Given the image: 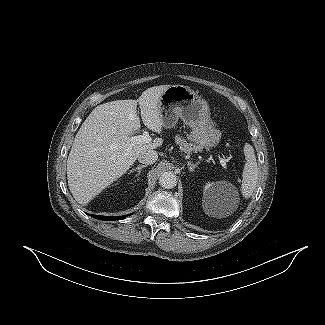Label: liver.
Returning <instances> with one entry per match:
<instances>
[{
	"mask_svg": "<svg viewBox=\"0 0 325 325\" xmlns=\"http://www.w3.org/2000/svg\"><path fill=\"white\" fill-rule=\"evenodd\" d=\"M170 86L148 88L138 100H116L98 105L82 123L67 160L68 186L79 204H88L125 174L142 151L162 145L161 138L146 144H132L130 136L140 129L137 103L144 125L162 133L158 103Z\"/></svg>",
	"mask_w": 325,
	"mask_h": 325,
	"instance_id": "1",
	"label": "liver"
}]
</instances>
